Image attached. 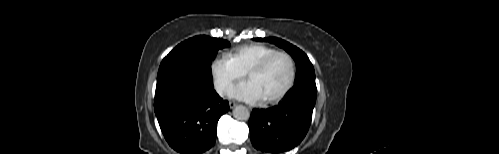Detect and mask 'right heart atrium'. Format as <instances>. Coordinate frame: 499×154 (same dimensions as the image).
I'll return each mask as SVG.
<instances>
[{"label":"right heart atrium","mask_w":499,"mask_h":154,"mask_svg":"<svg viewBox=\"0 0 499 154\" xmlns=\"http://www.w3.org/2000/svg\"><path fill=\"white\" fill-rule=\"evenodd\" d=\"M213 86L219 94L226 93L245 73L227 55L214 58L209 66Z\"/></svg>","instance_id":"d8ad5b80"}]
</instances>
